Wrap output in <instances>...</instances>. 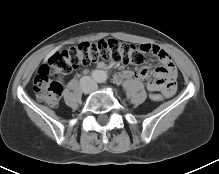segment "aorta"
<instances>
[{
  "label": "aorta",
  "mask_w": 219,
  "mask_h": 174,
  "mask_svg": "<svg viewBox=\"0 0 219 174\" xmlns=\"http://www.w3.org/2000/svg\"><path fill=\"white\" fill-rule=\"evenodd\" d=\"M107 73L103 70H98L95 75V79L99 83H103L107 80Z\"/></svg>",
  "instance_id": "aorta-1"
}]
</instances>
